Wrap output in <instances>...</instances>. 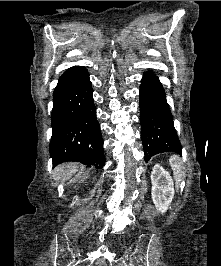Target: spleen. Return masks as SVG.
<instances>
[{
  "mask_svg": "<svg viewBox=\"0 0 221 266\" xmlns=\"http://www.w3.org/2000/svg\"><path fill=\"white\" fill-rule=\"evenodd\" d=\"M169 162H170L171 168H172V170L174 172V175H175L176 179L178 181H181V179L183 177V171H182V165L179 162L178 157L177 156H172L169 159Z\"/></svg>",
  "mask_w": 221,
  "mask_h": 266,
  "instance_id": "obj_1",
  "label": "spleen"
}]
</instances>
